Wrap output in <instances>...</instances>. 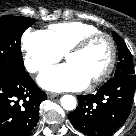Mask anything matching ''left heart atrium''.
Returning a JSON list of instances; mask_svg holds the SVG:
<instances>
[{
    "mask_svg": "<svg viewBox=\"0 0 136 136\" xmlns=\"http://www.w3.org/2000/svg\"><path fill=\"white\" fill-rule=\"evenodd\" d=\"M38 83L46 90L60 92L84 89L89 80L75 65L67 63L43 72Z\"/></svg>",
    "mask_w": 136,
    "mask_h": 136,
    "instance_id": "39dd6f15",
    "label": "left heart atrium"
}]
</instances>
